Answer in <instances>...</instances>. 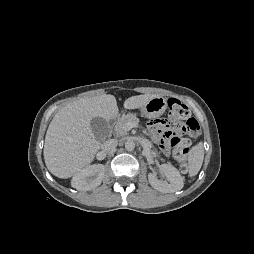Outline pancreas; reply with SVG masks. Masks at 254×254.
I'll return each mask as SVG.
<instances>
[{"mask_svg":"<svg viewBox=\"0 0 254 254\" xmlns=\"http://www.w3.org/2000/svg\"><path fill=\"white\" fill-rule=\"evenodd\" d=\"M139 119L134 114H127L120 117L115 126H114V132L118 136H123L127 134V130L125 129V124L127 123H133L138 124Z\"/></svg>","mask_w":254,"mask_h":254,"instance_id":"pancreas-1","label":"pancreas"}]
</instances>
